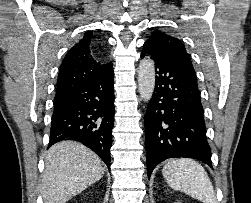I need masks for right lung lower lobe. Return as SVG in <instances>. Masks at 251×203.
I'll return each mask as SVG.
<instances>
[{
	"label": "right lung lower lobe",
	"instance_id": "98d812e1",
	"mask_svg": "<svg viewBox=\"0 0 251 203\" xmlns=\"http://www.w3.org/2000/svg\"><path fill=\"white\" fill-rule=\"evenodd\" d=\"M113 67L54 99L49 147L61 140L79 141L110 168L114 122Z\"/></svg>",
	"mask_w": 251,
	"mask_h": 203
}]
</instances>
